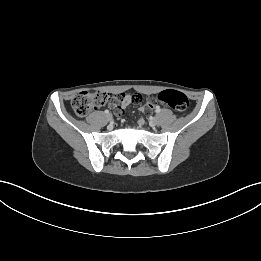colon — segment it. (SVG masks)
<instances>
[{"mask_svg": "<svg viewBox=\"0 0 261 261\" xmlns=\"http://www.w3.org/2000/svg\"><path fill=\"white\" fill-rule=\"evenodd\" d=\"M119 100L120 95H111L102 91H83L73 97L71 105L74 112L78 116H86L97 107L103 106L108 102H115ZM157 100L163 104H167L180 115H184L187 112L189 104L188 99L179 91H162L157 95Z\"/></svg>", "mask_w": 261, "mask_h": 261, "instance_id": "5ec220e1", "label": "colon"}]
</instances>
